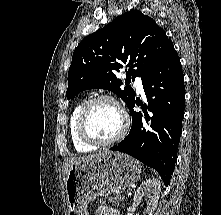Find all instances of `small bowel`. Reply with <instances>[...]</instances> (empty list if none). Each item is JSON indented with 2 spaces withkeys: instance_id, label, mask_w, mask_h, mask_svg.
Here are the masks:
<instances>
[{
  "instance_id": "small-bowel-1",
  "label": "small bowel",
  "mask_w": 221,
  "mask_h": 215,
  "mask_svg": "<svg viewBox=\"0 0 221 215\" xmlns=\"http://www.w3.org/2000/svg\"><path fill=\"white\" fill-rule=\"evenodd\" d=\"M94 215H119V213L111 207H100L95 211Z\"/></svg>"
}]
</instances>
